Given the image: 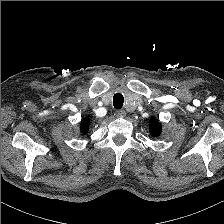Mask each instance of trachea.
<instances>
[{"label":"trachea","instance_id":"trachea-1","mask_svg":"<svg viewBox=\"0 0 224 224\" xmlns=\"http://www.w3.org/2000/svg\"><path fill=\"white\" fill-rule=\"evenodd\" d=\"M124 103V97L121 93H116L113 97V105L116 109H121Z\"/></svg>","mask_w":224,"mask_h":224}]
</instances>
